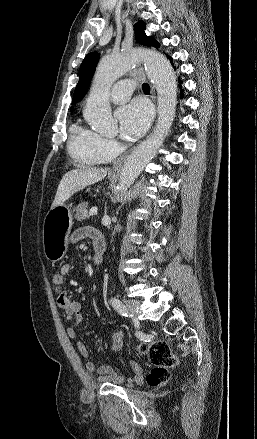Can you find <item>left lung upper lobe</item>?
Wrapping results in <instances>:
<instances>
[{
	"label": "left lung upper lobe",
	"mask_w": 257,
	"mask_h": 439,
	"mask_svg": "<svg viewBox=\"0 0 257 439\" xmlns=\"http://www.w3.org/2000/svg\"><path fill=\"white\" fill-rule=\"evenodd\" d=\"M145 23L143 21H139L135 24V39L138 43L147 46L159 47V43L153 38L146 36ZM99 60V53L92 52L86 55L84 58L79 71V82L76 86V89L73 94V104L80 101L86 94L90 82L92 80L93 74L95 72L97 63Z\"/></svg>",
	"instance_id": "left-lung-upper-lobe-1"
}]
</instances>
